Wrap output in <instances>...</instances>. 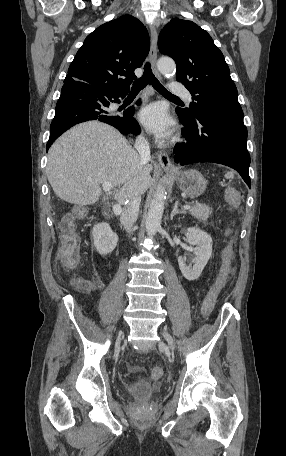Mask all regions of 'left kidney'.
I'll use <instances>...</instances> for the list:
<instances>
[{
	"instance_id": "5707ae66",
	"label": "left kidney",
	"mask_w": 286,
	"mask_h": 456,
	"mask_svg": "<svg viewBox=\"0 0 286 456\" xmlns=\"http://www.w3.org/2000/svg\"><path fill=\"white\" fill-rule=\"evenodd\" d=\"M186 238L190 246H196L193 248L195 255L193 258L194 265L186 264V256H180L178 264L183 276L187 280L193 281L201 275L212 255V238L209 234L196 227L188 228Z\"/></svg>"
}]
</instances>
